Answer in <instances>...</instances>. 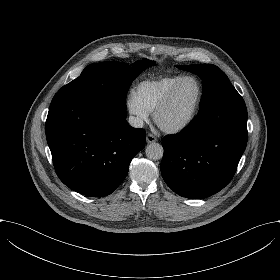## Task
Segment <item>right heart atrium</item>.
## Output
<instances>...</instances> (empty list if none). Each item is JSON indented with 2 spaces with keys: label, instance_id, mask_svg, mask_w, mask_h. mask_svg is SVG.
Wrapping results in <instances>:
<instances>
[{
  "label": "right heart atrium",
  "instance_id": "obj_1",
  "mask_svg": "<svg viewBox=\"0 0 280 280\" xmlns=\"http://www.w3.org/2000/svg\"><path fill=\"white\" fill-rule=\"evenodd\" d=\"M126 107L129 113L135 115L141 121H147L150 112L147 111L137 100L135 95L131 93L126 99Z\"/></svg>",
  "mask_w": 280,
  "mask_h": 280
}]
</instances>
